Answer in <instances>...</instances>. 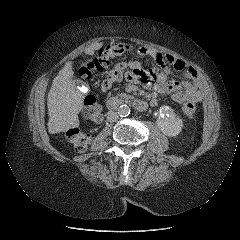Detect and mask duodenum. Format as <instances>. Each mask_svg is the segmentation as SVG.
Returning <instances> with one entry per match:
<instances>
[{
    "label": "duodenum",
    "mask_w": 240,
    "mask_h": 240,
    "mask_svg": "<svg viewBox=\"0 0 240 240\" xmlns=\"http://www.w3.org/2000/svg\"><path fill=\"white\" fill-rule=\"evenodd\" d=\"M122 103H123L122 100L113 98L108 100L106 106L109 110H114L117 107H119ZM131 103L139 111H144L148 107V104L140 99H133L131 100Z\"/></svg>",
    "instance_id": "obj_1"
}]
</instances>
